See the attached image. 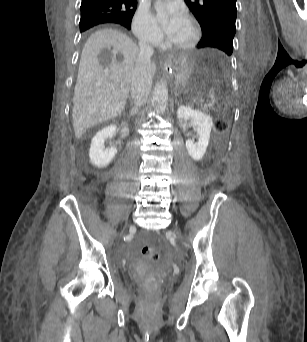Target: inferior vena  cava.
I'll return each mask as SVG.
<instances>
[{"instance_id": "602c4592", "label": "inferior vena cava", "mask_w": 307, "mask_h": 342, "mask_svg": "<svg viewBox=\"0 0 307 342\" xmlns=\"http://www.w3.org/2000/svg\"><path fill=\"white\" fill-rule=\"evenodd\" d=\"M139 48L140 52L131 82V98L137 108L142 104H146L154 76L150 60L151 56H153V48L148 46L145 40H140Z\"/></svg>"}]
</instances>
